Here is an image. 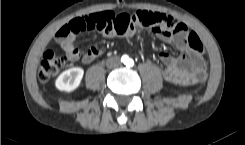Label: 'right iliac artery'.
<instances>
[{
  "mask_svg": "<svg viewBox=\"0 0 245 145\" xmlns=\"http://www.w3.org/2000/svg\"><path fill=\"white\" fill-rule=\"evenodd\" d=\"M121 60H122L123 62H126V60H128V57H127V56H123Z\"/></svg>",
  "mask_w": 245,
  "mask_h": 145,
  "instance_id": "1",
  "label": "right iliac artery"
}]
</instances>
